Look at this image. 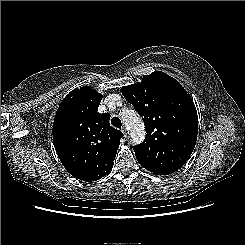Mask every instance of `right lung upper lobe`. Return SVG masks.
<instances>
[{"label": "right lung upper lobe", "mask_w": 245, "mask_h": 245, "mask_svg": "<svg viewBox=\"0 0 245 245\" xmlns=\"http://www.w3.org/2000/svg\"><path fill=\"white\" fill-rule=\"evenodd\" d=\"M102 95L89 86L71 91L60 103L53 123V143L71 175L92 182L113 167L123 133L109 124V113H98Z\"/></svg>", "instance_id": "right-lung-upper-lobe-1"}]
</instances>
